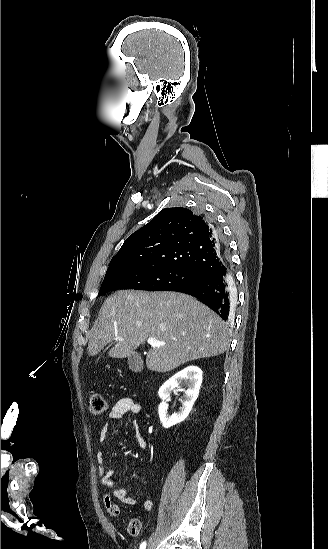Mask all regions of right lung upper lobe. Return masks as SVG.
Listing matches in <instances>:
<instances>
[{"label": "right lung upper lobe", "instance_id": "obj_1", "mask_svg": "<svg viewBox=\"0 0 328 549\" xmlns=\"http://www.w3.org/2000/svg\"><path fill=\"white\" fill-rule=\"evenodd\" d=\"M225 249L216 226L205 217L183 207L166 208L125 240L107 272L123 264L143 262L207 275L222 268Z\"/></svg>", "mask_w": 328, "mask_h": 549}]
</instances>
